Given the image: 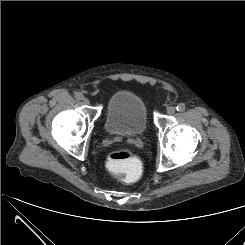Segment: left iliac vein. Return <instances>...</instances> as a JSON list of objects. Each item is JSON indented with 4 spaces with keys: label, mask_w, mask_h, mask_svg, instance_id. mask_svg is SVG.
<instances>
[{
    "label": "left iliac vein",
    "mask_w": 245,
    "mask_h": 245,
    "mask_svg": "<svg viewBox=\"0 0 245 245\" xmlns=\"http://www.w3.org/2000/svg\"><path fill=\"white\" fill-rule=\"evenodd\" d=\"M176 112V108L173 106H170L167 108V114L173 115Z\"/></svg>",
    "instance_id": "obj_1"
}]
</instances>
